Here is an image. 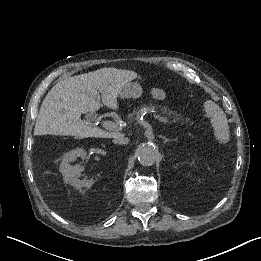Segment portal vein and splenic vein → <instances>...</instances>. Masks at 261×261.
Masks as SVG:
<instances>
[{
	"label": "portal vein and splenic vein",
	"mask_w": 261,
	"mask_h": 261,
	"mask_svg": "<svg viewBox=\"0 0 261 261\" xmlns=\"http://www.w3.org/2000/svg\"><path fill=\"white\" fill-rule=\"evenodd\" d=\"M152 118L157 121L160 122L161 124H166L168 122V126H173V121H168V119L166 117H164V114H158V113H154L152 115ZM109 128H111L112 130H116L118 129V124L114 123V122H110L109 123Z\"/></svg>",
	"instance_id": "portal-vein-and-splenic-vein-1"
}]
</instances>
